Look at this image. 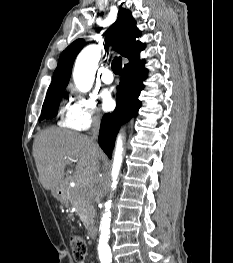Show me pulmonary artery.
<instances>
[{
    "mask_svg": "<svg viewBox=\"0 0 233 263\" xmlns=\"http://www.w3.org/2000/svg\"><path fill=\"white\" fill-rule=\"evenodd\" d=\"M101 79L105 84H111L114 80L112 71L108 68L103 69Z\"/></svg>",
    "mask_w": 233,
    "mask_h": 263,
    "instance_id": "obj_1",
    "label": "pulmonary artery"
}]
</instances>
